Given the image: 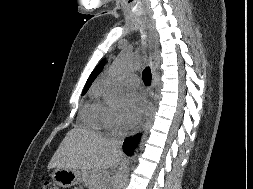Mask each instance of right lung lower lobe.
<instances>
[{"instance_id":"98d812e1","label":"right lung lower lobe","mask_w":253,"mask_h":189,"mask_svg":"<svg viewBox=\"0 0 253 189\" xmlns=\"http://www.w3.org/2000/svg\"><path fill=\"white\" fill-rule=\"evenodd\" d=\"M140 139V135L134 136L133 138L127 139L123 144V150L124 152L131 156L134 152V149L136 148V145Z\"/></svg>"}]
</instances>
